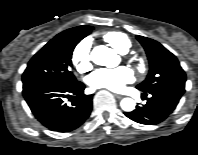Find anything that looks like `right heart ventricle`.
I'll return each mask as SVG.
<instances>
[{
  "label": "right heart ventricle",
  "mask_w": 198,
  "mask_h": 155,
  "mask_svg": "<svg viewBox=\"0 0 198 155\" xmlns=\"http://www.w3.org/2000/svg\"><path fill=\"white\" fill-rule=\"evenodd\" d=\"M103 38L116 51L120 53H126L131 46V42L129 38L121 32H116V31L108 32L103 36Z\"/></svg>",
  "instance_id": "obj_1"
}]
</instances>
